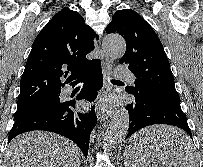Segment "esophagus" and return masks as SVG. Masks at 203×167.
Returning <instances> with one entry per match:
<instances>
[{"label": "esophagus", "instance_id": "34e87169", "mask_svg": "<svg viewBox=\"0 0 203 167\" xmlns=\"http://www.w3.org/2000/svg\"><path fill=\"white\" fill-rule=\"evenodd\" d=\"M102 71H103V78H104L103 94L107 95L112 91V86L109 82V79L111 78V75H112V61H110L108 58L102 59ZM112 113H113V110L104 109L100 105L97 112V118L100 122H103L107 120L109 117H111Z\"/></svg>", "mask_w": 203, "mask_h": 167}]
</instances>
